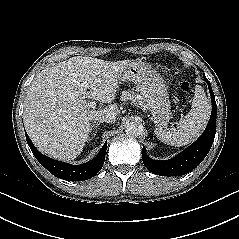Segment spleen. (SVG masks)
<instances>
[{"label":"spleen","mask_w":239,"mask_h":239,"mask_svg":"<svg viewBox=\"0 0 239 239\" xmlns=\"http://www.w3.org/2000/svg\"><path fill=\"white\" fill-rule=\"evenodd\" d=\"M191 107L185 118L180 120L177 129L156 127L154 131L156 137L161 142L175 147L185 146L194 141L205 129L210 117V104L200 86L195 88Z\"/></svg>","instance_id":"spleen-1"}]
</instances>
